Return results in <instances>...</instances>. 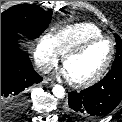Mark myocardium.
Masks as SVG:
<instances>
[{"mask_svg":"<svg viewBox=\"0 0 122 122\" xmlns=\"http://www.w3.org/2000/svg\"><path fill=\"white\" fill-rule=\"evenodd\" d=\"M107 40L110 43L111 50L108 59L106 60L105 64L102 66V68L91 78L83 80V81H74L69 79V82L76 88H86L89 86H92L96 84L98 81L102 79V77L105 75L109 67L111 66V63L113 61L114 55H115V42L112 38L102 35L98 37H92L89 38L80 44L76 45L75 47L68 50L66 53L62 56V64L65 65L66 61L76 55H79L82 53L86 48H88L90 45L102 41Z\"/></svg>","mask_w":122,"mask_h":122,"instance_id":"1","label":"myocardium"}]
</instances>
